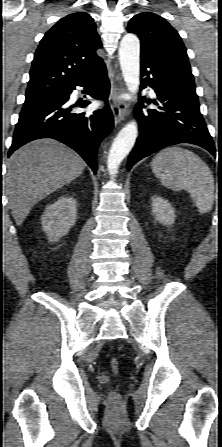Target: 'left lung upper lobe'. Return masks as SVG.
Listing matches in <instances>:
<instances>
[{
  "label": "left lung upper lobe",
  "instance_id": "obj_1",
  "mask_svg": "<svg viewBox=\"0 0 222 447\" xmlns=\"http://www.w3.org/2000/svg\"><path fill=\"white\" fill-rule=\"evenodd\" d=\"M129 33L141 41V56L148 57L195 86L186 48L178 32L162 17L151 12L134 16L128 23Z\"/></svg>",
  "mask_w": 222,
  "mask_h": 447
}]
</instances>
